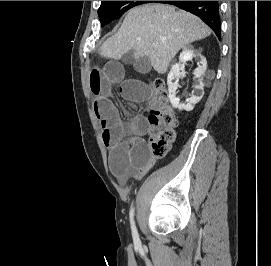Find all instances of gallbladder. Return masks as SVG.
Returning <instances> with one entry per match:
<instances>
[{
    "label": "gallbladder",
    "instance_id": "bac80fb5",
    "mask_svg": "<svg viewBox=\"0 0 271 266\" xmlns=\"http://www.w3.org/2000/svg\"><path fill=\"white\" fill-rule=\"evenodd\" d=\"M122 62L127 65H133L134 69L142 74H146L151 71L150 59L147 56H143L137 59L133 50L126 52L122 56Z\"/></svg>",
    "mask_w": 271,
    "mask_h": 266
}]
</instances>
